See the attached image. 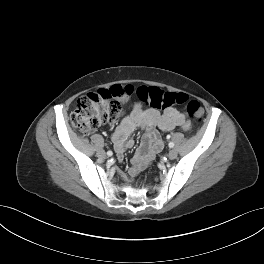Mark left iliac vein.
I'll return each instance as SVG.
<instances>
[{
  "label": "left iliac vein",
  "mask_w": 264,
  "mask_h": 264,
  "mask_svg": "<svg viewBox=\"0 0 264 264\" xmlns=\"http://www.w3.org/2000/svg\"><path fill=\"white\" fill-rule=\"evenodd\" d=\"M177 157V151L175 149H171L168 153V158L173 160Z\"/></svg>",
  "instance_id": "4c4485c4"
}]
</instances>
